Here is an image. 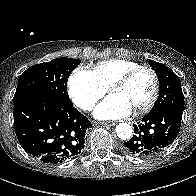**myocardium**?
<instances>
[{"label":"myocardium","mask_w":196,"mask_h":196,"mask_svg":"<svg viewBox=\"0 0 196 196\" xmlns=\"http://www.w3.org/2000/svg\"><path fill=\"white\" fill-rule=\"evenodd\" d=\"M142 71H148L151 73L153 77V91L151 94V97L149 100L139 108L134 110L135 114H142L148 112L156 103L158 96H159V91H160V79L158 76V73L155 71L154 68L146 65H141L139 67H136L125 74H123L121 77H119L117 80H115L108 88V92L112 93L115 89L124 87L127 85L137 74H139Z\"/></svg>","instance_id":"myocardium-1"}]
</instances>
